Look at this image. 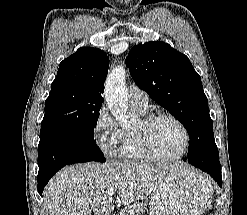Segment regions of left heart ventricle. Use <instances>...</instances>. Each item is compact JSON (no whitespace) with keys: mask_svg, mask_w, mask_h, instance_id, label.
Segmentation results:
<instances>
[{"mask_svg":"<svg viewBox=\"0 0 247 215\" xmlns=\"http://www.w3.org/2000/svg\"><path fill=\"white\" fill-rule=\"evenodd\" d=\"M142 122L138 128H141ZM150 137L154 149L167 156L179 154L184 146V134L180 127L170 119L163 118L150 128Z\"/></svg>","mask_w":247,"mask_h":215,"instance_id":"b2bd125f","label":"left heart ventricle"}]
</instances>
